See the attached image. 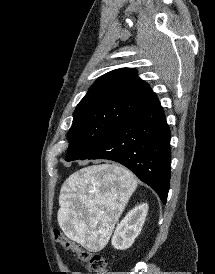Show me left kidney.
<instances>
[{
	"label": "left kidney",
	"instance_id": "left-kidney-1",
	"mask_svg": "<svg viewBox=\"0 0 215 274\" xmlns=\"http://www.w3.org/2000/svg\"><path fill=\"white\" fill-rule=\"evenodd\" d=\"M148 212V205L143 203L136 206L117 225L111 243L115 249L125 250L132 246L141 232Z\"/></svg>",
	"mask_w": 215,
	"mask_h": 274
}]
</instances>
